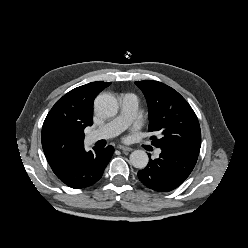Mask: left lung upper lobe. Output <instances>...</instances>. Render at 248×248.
<instances>
[{
	"mask_svg": "<svg viewBox=\"0 0 248 248\" xmlns=\"http://www.w3.org/2000/svg\"><path fill=\"white\" fill-rule=\"evenodd\" d=\"M149 107V131L152 144L159 148L199 155L201 130L198 118L188 102L173 88L152 80L137 81Z\"/></svg>",
	"mask_w": 248,
	"mask_h": 248,
	"instance_id": "left-lung-upper-lobe-1",
	"label": "left lung upper lobe"
}]
</instances>
